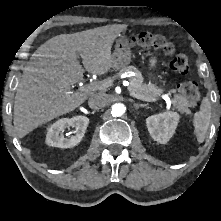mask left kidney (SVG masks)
<instances>
[{"instance_id": "1", "label": "left kidney", "mask_w": 221, "mask_h": 221, "mask_svg": "<svg viewBox=\"0 0 221 221\" xmlns=\"http://www.w3.org/2000/svg\"><path fill=\"white\" fill-rule=\"evenodd\" d=\"M179 119L178 113L168 111L148 117L146 119V126L155 141L166 144L173 136Z\"/></svg>"}]
</instances>
